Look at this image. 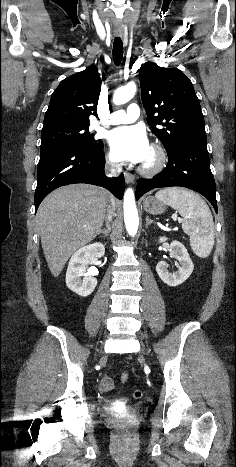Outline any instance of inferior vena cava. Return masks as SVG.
Returning <instances> with one entry per match:
<instances>
[{
  "label": "inferior vena cava",
  "mask_w": 236,
  "mask_h": 467,
  "mask_svg": "<svg viewBox=\"0 0 236 467\" xmlns=\"http://www.w3.org/2000/svg\"><path fill=\"white\" fill-rule=\"evenodd\" d=\"M106 173L108 175H111V176H116L117 173H118V169H117V166H115L114 164H111L110 166L106 167ZM114 211H115V208L113 207H108L107 209V222H110L113 218V215H114Z\"/></svg>",
  "instance_id": "1"
}]
</instances>
